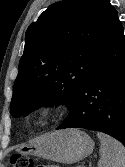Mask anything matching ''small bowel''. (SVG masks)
Listing matches in <instances>:
<instances>
[{
    "mask_svg": "<svg viewBox=\"0 0 125 167\" xmlns=\"http://www.w3.org/2000/svg\"><path fill=\"white\" fill-rule=\"evenodd\" d=\"M39 167H54V166H39Z\"/></svg>",
    "mask_w": 125,
    "mask_h": 167,
    "instance_id": "small-bowel-1",
    "label": "small bowel"
}]
</instances>
